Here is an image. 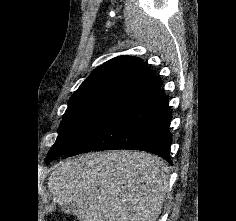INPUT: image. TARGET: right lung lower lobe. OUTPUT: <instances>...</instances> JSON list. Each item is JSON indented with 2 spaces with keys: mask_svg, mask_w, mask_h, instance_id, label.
Instances as JSON below:
<instances>
[{
  "mask_svg": "<svg viewBox=\"0 0 236 221\" xmlns=\"http://www.w3.org/2000/svg\"><path fill=\"white\" fill-rule=\"evenodd\" d=\"M160 88L161 80L136 93L68 151L65 158L96 150L132 149L157 154L171 163L172 115L168 98Z\"/></svg>",
  "mask_w": 236,
  "mask_h": 221,
  "instance_id": "98d812e1",
  "label": "right lung lower lobe"
}]
</instances>
